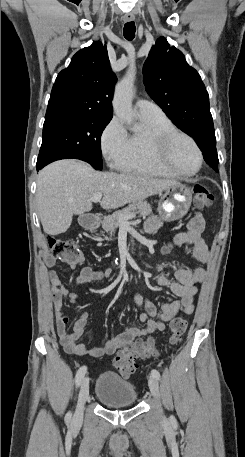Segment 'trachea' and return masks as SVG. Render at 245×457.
Returning a JSON list of instances; mask_svg holds the SVG:
<instances>
[{
	"instance_id": "obj_1",
	"label": "trachea",
	"mask_w": 245,
	"mask_h": 457,
	"mask_svg": "<svg viewBox=\"0 0 245 457\" xmlns=\"http://www.w3.org/2000/svg\"><path fill=\"white\" fill-rule=\"evenodd\" d=\"M135 31H136L135 23L132 21L127 22L124 25L123 35L127 40H133V38L135 37Z\"/></svg>"
}]
</instances>
